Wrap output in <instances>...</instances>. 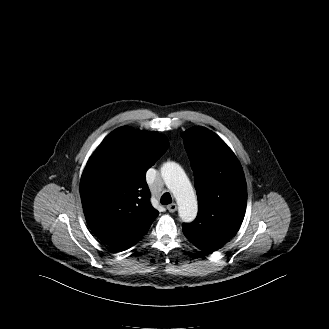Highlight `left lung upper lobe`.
<instances>
[{
	"mask_svg": "<svg viewBox=\"0 0 329 329\" xmlns=\"http://www.w3.org/2000/svg\"><path fill=\"white\" fill-rule=\"evenodd\" d=\"M194 172L198 216L184 224L189 241L215 240L219 233L235 234L243 221L247 186L241 165L224 141L204 127L182 134Z\"/></svg>",
	"mask_w": 329,
	"mask_h": 329,
	"instance_id": "obj_1",
	"label": "left lung upper lobe"
}]
</instances>
